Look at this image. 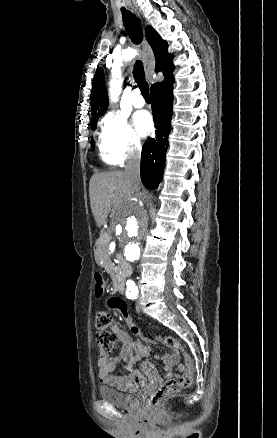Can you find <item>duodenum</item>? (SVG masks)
<instances>
[{
    "label": "duodenum",
    "mask_w": 277,
    "mask_h": 438,
    "mask_svg": "<svg viewBox=\"0 0 277 438\" xmlns=\"http://www.w3.org/2000/svg\"><path fill=\"white\" fill-rule=\"evenodd\" d=\"M99 251V247H96V252ZM117 262H118V267H119V272L117 274V280H116V287L118 289V291L123 292L124 291V274L128 271L129 269V264L128 262L121 256H119L117 258Z\"/></svg>",
    "instance_id": "duodenum-1"
}]
</instances>
